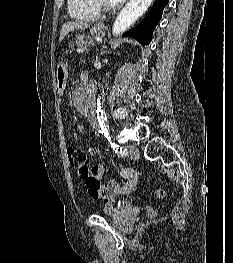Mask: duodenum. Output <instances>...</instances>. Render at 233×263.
Wrapping results in <instances>:
<instances>
[{
	"instance_id": "410a0bca",
	"label": "duodenum",
	"mask_w": 233,
	"mask_h": 263,
	"mask_svg": "<svg viewBox=\"0 0 233 263\" xmlns=\"http://www.w3.org/2000/svg\"><path fill=\"white\" fill-rule=\"evenodd\" d=\"M82 81H86L89 78V73L87 71H83L80 75Z\"/></svg>"
}]
</instances>
